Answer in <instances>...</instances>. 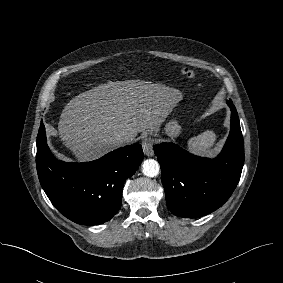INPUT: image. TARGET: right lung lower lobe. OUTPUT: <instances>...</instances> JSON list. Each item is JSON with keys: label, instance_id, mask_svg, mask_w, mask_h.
Listing matches in <instances>:
<instances>
[{"label": "right lung lower lobe", "instance_id": "obj_1", "mask_svg": "<svg viewBox=\"0 0 283 283\" xmlns=\"http://www.w3.org/2000/svg\"><path fill=\"white\" fill-rule=\"evenodd\" d=\"M143 160L140 144L114 150L87 163H66L51 153L44 125L37 136L36 166L40 184L57 210L83 225L110 220L122 204L123 185Z\"/></svg>", "mask_w": 283, "mask_h": 283}]
</instances>
